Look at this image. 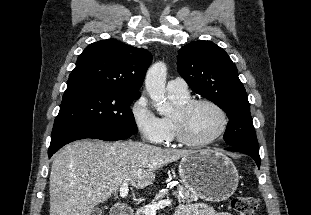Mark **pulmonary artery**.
Returning a JSON list of instances; mask_svg holds the SVG:
<instances>
[{
  "instance_id": "pulmonary-artery-1",
  "label": "pulmonary artery",
  "mask_w": 311,
  "mask_h": 215,
  "mask_svg": "<svg viewBox=\"0 0 311 215\" xmlns=\"http://www.w3.org/2000/svg\"><path fill=\"white\" fill-rule=\"evenodd\" d=\"M168 93L185 95L188 94V85L182 78L171 79L167 84Z\"/></svg>"
}]
</instances>
